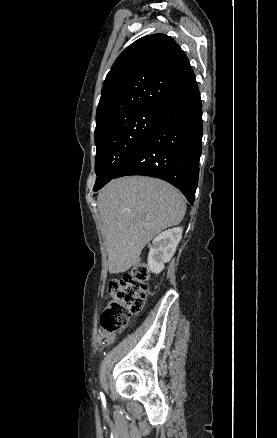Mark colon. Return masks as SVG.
<instances>
[{"mask_svg": "<svg viewBox=\"0 0 277 438\" xmlns=\"http://www.w3.org/2000/svg\"><path fill=\"white\" fill-rule=\"evenodd\" d=\"M148 272L145 266H136L129 275L115 279L111 286L108 307L99 321V332L125 328L132 318L141 312L143 303L149 295L145 281Z\"/></svg>", "mask_w": 277, "mask_h": 438, "instance_id": "colon-1", "label": "colon"}]
</instances>
